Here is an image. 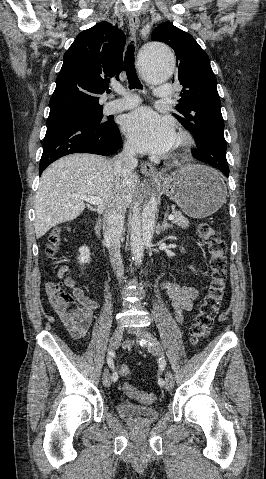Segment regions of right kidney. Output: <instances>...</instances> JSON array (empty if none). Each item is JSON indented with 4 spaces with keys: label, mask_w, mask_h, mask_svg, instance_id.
I'll use <instances>...</instances> for the list:
<instances>
[{
    "label": "right kidney",
    "mask_w": 266,
    "mask_h": 479,
    "mask_svg": "<svg viewBox=\"0 0 266 479\" xmlns=\"http://www.w3.org/2000/svg\"><path fill=\"white\" fill-rule=\"evenodd\" d=\"M79 257H78V261L81 265H84L86 263H89L90 260H91V253H90V250L87 246H83L81 248H79Z\"/></svg>",
    "instance_id": "ca27d5eb"
}]
</instances>
